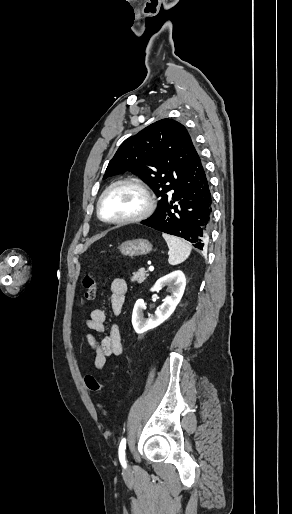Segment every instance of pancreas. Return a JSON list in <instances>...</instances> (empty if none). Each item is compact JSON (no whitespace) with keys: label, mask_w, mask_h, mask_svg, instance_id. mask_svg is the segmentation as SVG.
Listing matches in <instances>:
<instances>
[{"label":"pancreas","mask_w":292,"mask_h":514,"mask_svg":"<svg viewBox=\"0 0 292 514\" xmlns=\"http://www.w3.org/2000/svg\"><path fill=\"white\" fill-rule=\"evenodd\" d=\"M146 276H148V274H146L144 268H140V270H138V272H133L131 282H138V284H142V282H144Z\"/></svg>","instance_id":"cf45deb5"}]
</instances>
